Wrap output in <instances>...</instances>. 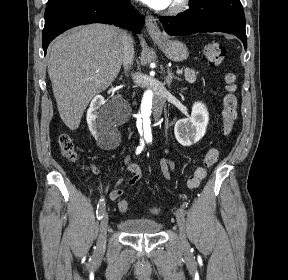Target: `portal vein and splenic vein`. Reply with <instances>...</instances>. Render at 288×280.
Returning a JSON list of instances; mask_svg holds the SVG:
<instances>
[{
  "label": "portal vein and splenic vein",
  "mask_w": 288,
  "mask_h": 280,
  "mask_svg": "<svg viewBox=\"0 0 288 280\" xmlns=\"http://www.w3.org/2000/svg\"><path fill=\"white\" fill-rule=\"evenodd\" d=\"M182 72H183L182 69H178V70L176 71L177 74H182Z\"/></svg>",
  "instance_id": "obj_1"
}]
</instances>
